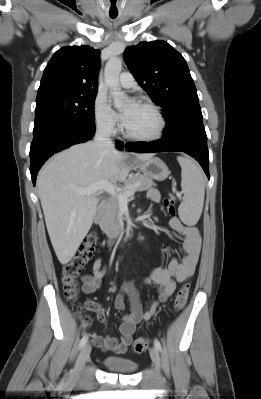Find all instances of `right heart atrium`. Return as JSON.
Returning <instances> with one entry per match:
<instances>
[{"mask_svg": "<svg viewBox=\"0 0 261 399\" xmlns=\"http://www.w3.org/2000/svg\"><path fill=\"white\" fill-rule=\"evenodd\" d=\"M94 116L97 129L104 135H114L118 129L115 113L104 98L98 97L94 104Z\"/></svg>", "mask_w": 261, "mask_h": 399, "instance_id": "d8ad5b80", "label": "right heart atrium"}]
</instances>
